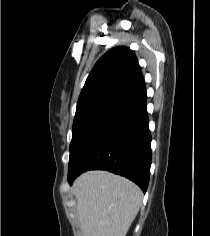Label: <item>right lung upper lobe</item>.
Instances as JSON below:
<instances>
[{"instance_id": "obj_1", "label": "right lung upper lobe", "mask_w": 210, "mask_h": 236, "mask_svg": "<svg viewBox=\"0 0 210 236\" xmlns=\"http://www.w3.org/2000/svg\"><path fill=\"white\" fill-rule=\"evenodd\" d=\"M138 60L132 50L116 47L95 64L81 91L78 104L115 89L134 91L144 84Z\"/></svg>"}]
</instances>
